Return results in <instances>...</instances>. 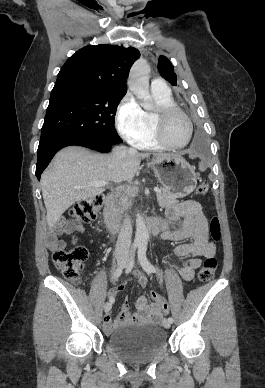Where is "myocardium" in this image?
<instances>
[{
    "label": "myocardium",
    "mask_w": 265,
    "mask_h": 388,
    "mask_svg": "<svg viewBox=\"0 0 265 388\" xmlns=\"http://www.w3.org/2000/svg\"><path fill=\"white\" fill-rule=\"evenodd\" d=\"M152 91H168V90H153L152 86H149V92L151 93ZM171 112L179 113L185 121L186 139H185L184 143H182L180 145L170 144L169 142H167V140L165 139V137L162 133V127H161L162 116H164L168 113H171ZM153 127H154V134H155L157 141L161 145H163L167 148H171V149L184 148L189 143V141L192 137V132H193L192 122H191V119L189 118V116L181 108H179L178 106L173 105V104L159 105L154 110V112H153Z\"/></svg>",
    "instance_id": "f54148a6"
}]
</instances>
